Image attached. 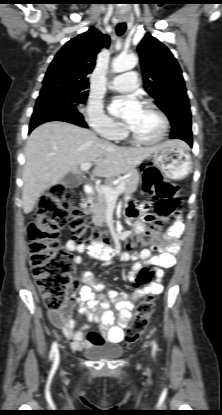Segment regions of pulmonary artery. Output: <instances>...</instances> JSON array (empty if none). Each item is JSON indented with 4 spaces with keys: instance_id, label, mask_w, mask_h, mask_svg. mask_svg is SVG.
<instances>
[{
    "instance_id": "e3ab8cb5",
    "label": "pulmonary artery",
    "mask_w": 222,
    "mask_h": 415,
    "mask_svg": "<svg viewBox=\"0 0 222 415\" xmlns=\"http://www.w3.org/2000/svg\"><path fill=\"white\" fill-rule=\"evenodd\" d=\"M138 77L135 71H130L124 74L113 77L108 87L113 90L130 92L138 87Z\"/></svg>"
}]
</instances>
